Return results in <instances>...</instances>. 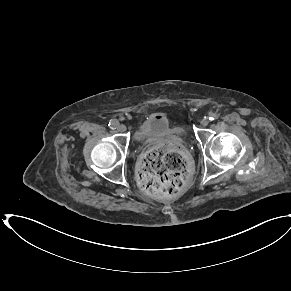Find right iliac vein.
<instances>
[{
	"mask_svg": "<svg viewBox=\"0 0 291 291\" xmlns=\"http://www.w3.org/2000/svg\"><path fill=\"white\" fill-rule=\"evenodd\" d=\"M119 132H125L126 131V126L124 124H120L117 127Z\"/></svg>",
	"mask_w": 291,
	"mask_h": 291,
	"instance_id": "right-iliac-vein-1",
	"label": "right iliac vein"
}]
</instances>
